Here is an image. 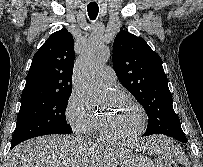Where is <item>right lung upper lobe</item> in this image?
<instances>
[{
  "mask_svg": "<svg viewBox=\"0 0 203 167\" xmlns=\"http://www.w3.org/2000/svg\"><path fill=\"white\" fill-rule=\"evenodd\" d=\"M74 58L71 33L62 29L50 35L33 57L21 101L71 94Z\"/></svg>",
  "mask_w": 203,
  "mask_h": 167,
  "instance_id": "cb5924a9",
  "label": "right lung upper lobe"
}]
</instances>
